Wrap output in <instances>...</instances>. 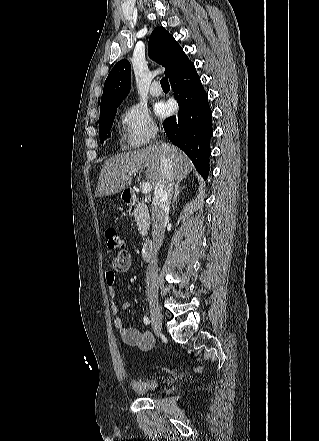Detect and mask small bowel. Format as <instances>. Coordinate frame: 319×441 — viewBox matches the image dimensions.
I'll list each match as a JSON object with an SVG mask.
<instances>
[{
	"mask_svg": "<svg viewBox=\"0 0 319 441\" xmlns=\"http://www.w3.org/2000/svg\"><path fill=\"white\" fill-rule=\"evenodd\" d=\"M113 270L105 272V282L107 285V292L111 300V312L114 315L115 327L120 332L123 342L129 346L136 347L141 351H148L154 346V336L150 331L141 332L135 328L127 327L122 318L118 315L120 311H127L130 308V303L127 301L117 303L116 297V278L117 273H126L131 266V256L123 250L118 253L112 261Z\"/></svg>",
	"mask_w": 319,
	"mask_h": 441,
	"instance_id": "1",
	"label": "small bowel"
}]
</instances>
